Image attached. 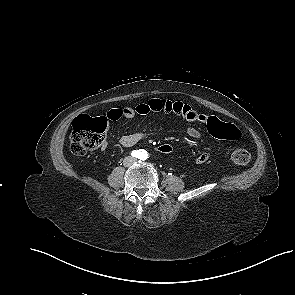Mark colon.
I'll return each instance as SVG.
<instances>
[{
	"instance_id": "1",
	"label": "colon",
	"mask_w": 295,
	"mask_h": 295,
	"mask_svg": "<svg viewBox=\"0 0 295 295\" xmlns=\"http://www.w3.org/2000/svg\"><path fill=\"white\" fill-rule=\"evenodd\" d=\"M107 119L105 117H90L80 115L73 121V130L70 136L71 151L75 156L83 157L99 147L105 137ZM209 132L215 137L230 141H238L241 132L233 125L211 120ZM159 152L167 154L172 151L168 144L159 146ZM232 161L238 166H246L250 161V154L244 148H237L232 153Z\"/></svg>"
}]
</instances>
